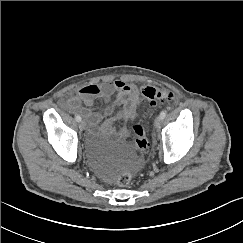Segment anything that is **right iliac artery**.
<instances>
[{
	"label": "right iliac artery",
	"mask_w": 243,
	"mask_h": 243,
	"mask_svg": "<svg viewBox=\"0 0 243 243\" xmlns=\"http://www.w3.org/2000/svg\"><path fill=\"white\" fill-rule=\"evenodd\" d=\"M75 119H76L77 122H80L81 121V117L79 115H76L75 116Z\"/></svg>",
	"instance_id": "1"
}]
</instances>
